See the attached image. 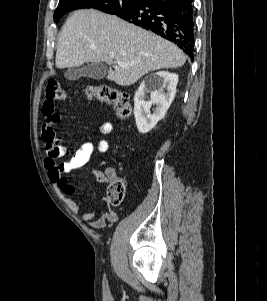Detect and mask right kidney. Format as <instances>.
<instances>
[{
	"label": "right kidney",
	"mask_w": 267,
	"mask_h": 301,
	"mask_svg": "<svg viewBox=\"0 0 267 301\" xmlns=\"http://www.w3.org/2000/svg\"><path fill=\"white\" fill-rule=\"evenodd\" d=\"M177 83L178 75L167 71L157 72L141 83L134 97V116L140 133L149 132L164 118L174 99ZM146 93H150V101L145 100ZM152 104L156 105L153 114L150 113Z\"/></svg>",
	"instance_id": "1"
}]
</instances>
